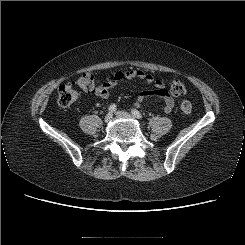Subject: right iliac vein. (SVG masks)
<instances>
[{"instance_id":"63e3f726","label":"right iliac vein","mask_w":245,"mask_h":245,"mask_svg":"<svg viewBox=\"0 0 245 245\" xmlns=\"http://www.w3.org/2000/svg\"><path fill=\"white\" fill-rule=\"evenodd\" d=\"M113 119V115L111 113H108L105 118H104V121L106 123L110 122L111 120Z\"/></svg>"}]
</instances>
